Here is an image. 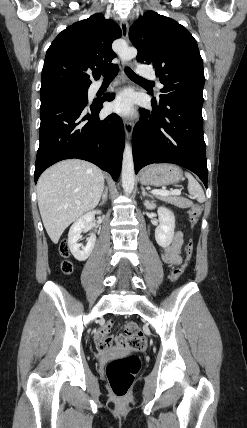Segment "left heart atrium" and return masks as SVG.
I'll list each match as a JSON object with an SVG mask.
<instances>
[{
  "label": "left heart atrium",
  "mask_w": 247,
  "mask_h": 428,
  "mask_svg": "<svg viewBox=\"0 0 247 428\" xmlns=\"http://www.w3.org/2000/svg\"><path fill=\"white\" fill-rule=\"evenodd\" d=\"M113 111L120 114H130L133 110V96L131 93H121L111 104Z\"/></svg>",
  "instance_id": "39dd6f15"
}]
</instances>
